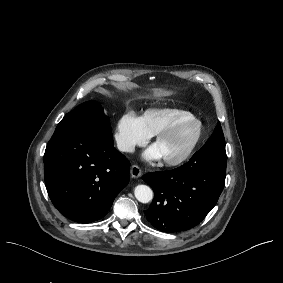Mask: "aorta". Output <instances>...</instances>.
I'll return each instance as SVG.
<instances>
[{
  "mask_svg": "<svg viewBox=\"0 0 283 283\" xmlns=\"http://www.w3.org/2000/svg\"><path fill=\"white\" fill-rule=\"evenodd\" d=\"M136 199L141 203H149L153 199V191L147 185H138L134 189Z\"/></svg>",
  "mask_w": 283,
  "mask_h": 283,
  "instance_id": "1",
  "label": "aorta"
}]
</instances>
